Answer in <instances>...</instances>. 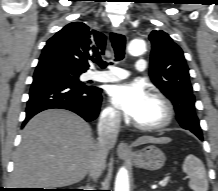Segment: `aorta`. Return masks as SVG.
<instances>
[{
	"mask_svg": "<svg viewBox=\"0 0 218 191\" xmlns=\"http://www.w3.org/2000/svg\"><path fill=\"white\" fill-rule=\"evenodd\" d=\"M128 53L138 56L145 52L146 43L142 39H133L128 45ZM114 191H129V177L126 168L122 167L117 173Z\"/></svg>",
	"mask_w": 218,
	"mask_h": 191,
	"instance_id": "762f6f07",
	"label": "aorta"
}]
</instances>
